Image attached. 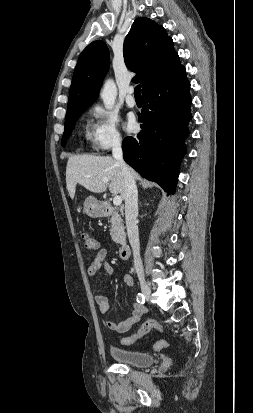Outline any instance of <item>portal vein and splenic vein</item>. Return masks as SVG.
<instances>
[{"instance_id":"obj_1","label":"portal vein and splenic vein","mask_w":253,"mask_h":413,"mask_svg":"<svg viewBox=\"0 0 253 413\" xmlns=\"http://www.w3.org/2000/svg\"><path fill=\"white\" fill-rule=\"evenodd\" d=\"M104 182L107 183V182H108V179H104ZM121 203H122V198H121V196H115L114 199H113V204H114L115 206H120Z\"/></svg>"}]
</instances>
